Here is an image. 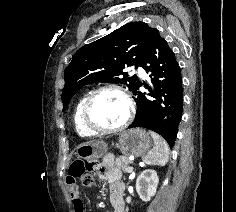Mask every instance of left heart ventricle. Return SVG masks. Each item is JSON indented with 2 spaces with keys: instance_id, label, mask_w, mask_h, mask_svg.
<instances>
[{
  "instance_id": "b2bd125f",
  "label": "left heart ventricle",
  "mask_w": 236,
  "mask_h": 212,
  "mask_svg": "<svg viewBox=\"0 0 236 212\" xmlns=\"http://www.w3.org/2000/svg\"><path fill=\"white\" fill-rule=\"evenodd\" d=\"M127 115V104L116 91L100 93L91 108V120L100 128H115L121 125Z\"/></svg>"
}]
</instances>
